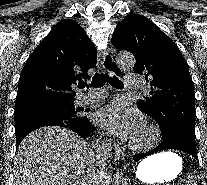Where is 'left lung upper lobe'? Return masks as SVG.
Returning <instances> with one entry per match:
<instances>
[{"label": "left lung upper lobe", "instance_id": "left-lung-upper-lobe-1", "mask_svg": "<svg viewBox=\"0 0 207 185\" xmlns=\"http://www.w3.org/2000/svg\"><path fill=\"white\" fill-rule=\"evenodd\" d=\"M112 44L135 56L134 72L145 75L151 96L137 107L159 125L162 137L183 133L195 144V99L186 60L177 45L148 18L128 14L112 35Z\"/></svg>", "mask_w": 207, "mask_h": 185}]
</instances>
